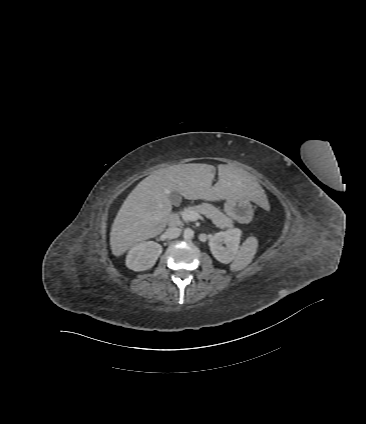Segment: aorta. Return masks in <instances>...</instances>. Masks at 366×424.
<instances>
[{"label":"aorta","mask_w":366,"mask_h":424,"mask_svg":"<svg viewBox=\"0 0 366 424\" xmlns=\"http://www.w3.org/2000/svg\"><path fill=\"white\" fill-rule=\"evenodd\" d=\"M184 239H192L194 237V231L191 228H186L183 232Z\"/></svg>","instance_id":"762f6f07"}]
</instances>
